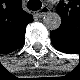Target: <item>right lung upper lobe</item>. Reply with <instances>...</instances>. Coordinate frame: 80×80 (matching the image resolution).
Here are the masks:
<instances>
[{"instance_id": "obj_1", "label": "right lung upper lobe", "mask_w": 80, "mask_h": 80, "mask_svg": "<svg viewBox=\"0 0 80 80\" xmlns=\"http://www.w3.org/2000/svg\"><path fill=\"white\" fill-rule=\"evenodd\" d=\"M25 14L26 13H24L22 16H20V18H12V26H10L11 24H9L10 22H8L7 25H9V26L6 29V32L9 31L10 28L12 31H14L13 29H15V30L21 32L22 29H24V27L31 21V18L29 16H25ZM3 36H4V32L2 33V37Z\"/></svg>"}]
</instances>
